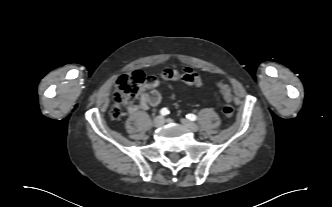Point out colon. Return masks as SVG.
Here are the masks:
<instances>
[{
    "label": "colon",
    "mask_w": 332,
    "mask_h": 207,
    "mask_svg": "<svg viewBox=\"0 0 332 207\" xmlns=\"http://www.w3.org/2000/svg\"><path fill=\"white\" fill-rule=\"evenodd\" d=\"M161 76L165 80L173 77L171 69H164ZM145 77L141 71H133L121 76L116 83L114 89V104L110 109L111 118L120 119L127 108V106L140 94ZM219 91L225 101L223 107V114L227 119H231L234 113L233 97L231 88L226 83H219Z\"/></svg>",
    "instance_id": "obj_1"
}]
</instances>
